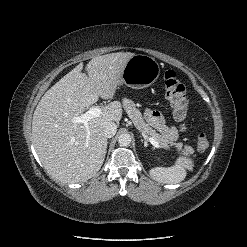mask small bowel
Here are the masks:
<instances>
[{
  "instance_id": "c3829d8e",
  "label": "small bowel",
  "mask_w": 247,
  "mask_h": 247,
  "mask_svg": "<svg viewBox=\"0 0 247 247\" xmlns=\"http://www.w3.org/2000/svg\"><path fill=\"white\" fill-rule=\"evenodd\" d=\"M145 118L150 125H152L166 138L175 139L177 137L175 127L168 126L164 116L159 111L147 109L145 112Z\"/></svg>"
}]
</instances>
